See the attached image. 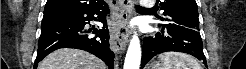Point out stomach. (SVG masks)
<instances>
[{
  "label": "stomach",
  "mask_w": 246,
  "mask_h": 69,
  "mask_svg": "<svg viewBox=\"0 0 246 69\" xmlns=\"http://www.w3.org/2000/svg\"><path fill=\"white\" fill-rule=\"evenodd\" d=\"M154 69H164V68H162L161 65L157 63L156 65H154Z\"/></svg>",
  "instance_id": "1"
}]
</instances>
